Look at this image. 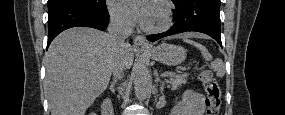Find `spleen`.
<instances>
[{
  "label": "spleen",
  "instance_id": "spleen-1",
  "mask_svg": "<svg viewBox=\"0 0 285 115\" xmlns=\"http://www.w3.org/2000/svg\"><path fill=\"white\" fill-rule=\"evenodd\" d=\"M184 41L198 48L206 61L212 60V55L208 52L205 46L188 39H184ZM210 67L216 71L218 77H223L225 75V65L220 58L212 61Z\"/></svg>",
  "mask_w": 285,
  "mask_h": 115
}]
</instances>
